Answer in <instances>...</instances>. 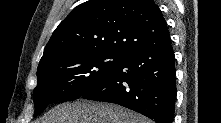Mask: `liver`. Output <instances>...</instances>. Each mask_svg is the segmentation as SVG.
I'll return each instance as SVG.
<instances>
[{"mask_svg": "<svg viewBox=\"0 0 221 123\" xmlns=\"http://www.w3.org/2000/svg\"><path fill=\"white\" fill-rule=\"evenodd\" d=\"M42 123H151V121L115 104L78 100L55 106Z\"/></svg>", "mask_w": 221, "mask_h": 123, "instance_id": "obj_1", "label": "liver"}]
</instances>
